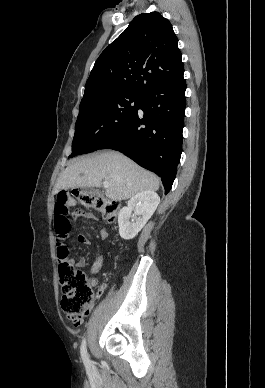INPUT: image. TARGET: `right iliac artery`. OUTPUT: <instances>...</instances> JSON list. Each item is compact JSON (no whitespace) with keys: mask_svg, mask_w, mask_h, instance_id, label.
I'll use <instances>...</instances> for the list:
<instances>
[{"mask_svg":"<svg viewBox=\"0 0 265 388\" xmlns=\"http://www.w3.org/2000/svg\"><path fill=\"white\" fill-rule=\"evenodd\" d=\"M80 352H81V357H82L84 365L89 368L91 366V361H90L89 356L87 354L86 340L85 339H83V341H82Z\"/></svg>","mask_w":265,"mask_h":388,"instance_id":"82829eb1","label":"right iliac artery"}]
</instances>
